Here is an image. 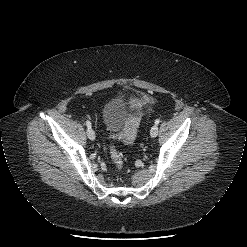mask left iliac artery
<instances>
[{
  "mask_svg": "<svg viewBox=\"0 0 247 247\" xmlns=\"http://www.w3.org/2000/svg\"><path fill=\"white\" fill-rule=\"evenodd\" d=\"M160 123V119L155 120V124L158 125Z\"/></svg>",
  "mask_w": 247,
  "mask_h": 247,
  "instance_id": "obj_1",
  "label": "left iliac artery"
}]
</instances>
